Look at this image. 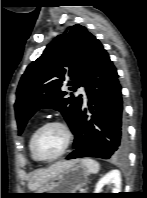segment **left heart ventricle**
<instances>
[{
    "label": "left heart ventricle",
    "mask_w": 147,
    "mask_h": 198,
    "mask_svg": "<svg viewBox=\"0 0 147 198\" xmlns=\"http://www.w3.org/2000/svg\"><path fill=\"white\" fill-rule=\"evenodd\" d=\"M65 143V134L60 127L51 126L44 129L36 140L37 152L42 157H52L58 154Z\"/></svg>",
    "instance_id": "left-heart-ventricle-1"
}]
</instances>
